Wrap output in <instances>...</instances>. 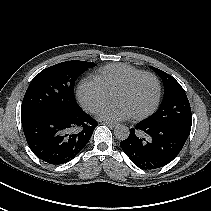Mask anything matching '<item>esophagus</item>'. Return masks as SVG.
Wrapping results in <instances>:
<instances>
[{
  "instance_id": "esophagus-1",
  "label": "esophagus",
  "mask_w": 211,
  "mask_h": 211,
  "mask_svg": "<svg viewBox=\"0 0 211 211\" xmlns=\"http://www.w3.org/2000/svg\"><path fill=\"white\" fill-rule=\"evenodd\" d=\"M104 124L107 125V126H109V127H111V128H114V127L117 126L116 123H112V122H104Z\"/></svg>"
}]
</instances>
